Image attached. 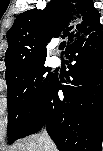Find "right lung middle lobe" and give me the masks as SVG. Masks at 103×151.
Listing matches in <instances>:
<instances>
[{
    "label": "right lung middle lobe",
    "instance_id": "1",
    "mask_svg": "<svg viewBox=\"0 0 103 151\" xmlns=\"http://www.w3.org/2000/svg\"><path fill=\"white\" fill-rule=\"evenodd\" d=\"M39 63L15 76L8 88V142L19 139L38 111L56 74Z\"/></svg>",
    "mask_w": 103,
    "mask_h": 151
}]
</instances>
